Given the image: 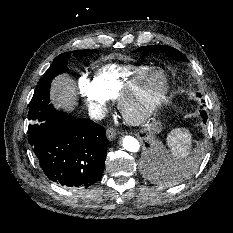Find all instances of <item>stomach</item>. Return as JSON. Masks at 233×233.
Returning <instances> with one entry per match:
<instances>
[{"label":"stomach","instance_id":"obj_1","mask_svg":"<svg viewBox=\"0 0 233 233\" xmlns=\"http://www.w3.org/2000/svg\"><path fill=\"white\" fill-rule=\"evenodd\" d=\"M161 127H162L161 123L158 120L153 119L151 122L148 123L146 129L148 132L155 134V133L160 132Z\"/></svg>","mask_w":233,"mask_h":233}]
</instances>
